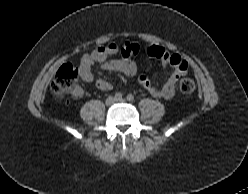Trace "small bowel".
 Returning <instances> with one entry per match:
<instances>
[{
	"label": "small bowel",
	"mask_w": 248,
	"mask_h": 194,
	"mask_svg": "<svg viewBox=\"0 0 248 194\" xmlns=\"http://www.w3.org/2000/svg\"><path fill=\"white\" fill-rule=\"evenodd\" d=\"M119 51L122 55L120 58L110 59V56L115 55ZM138 52L139 46L129 42L122 47H118L116 44L97 47L81 57L79 75L84 82L94 83L99 90L108 91L112 88V84L103 78H96L92 72V66L99 64L103 71L121 72L127 76H134L137 73V67L131 57ZM146 53L153 58L161 59L163 67L169 69L170 73L161 86L152 85L147 76L141 75L139 77L140 85L153 97L171 98L175 93L177 81L187 70L186 61L179 55H170L157 45H148ZM73 95L81 97L83 95L82 89L76 87L73 90Z\"/></svg>",
	"instance_id": "1"
}]
</instances>
